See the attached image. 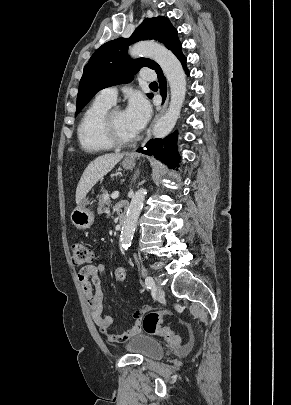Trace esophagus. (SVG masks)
Masks as SVG:
<instances>
[{"label":"esophagus","mask_w":291,"mask_h":405,"mask_svg":"<svg viewBox=\"0 0 291 405\" xmlns=\"http://www.w3.org/2000/svg\"><path fill=\"white\" fill-rule=\"evenodd\" d=\"M167 105H168V99L165 100V102H164L162 108L160 109L159 113L155 116V118L151 122V124H150V126L148 128V131H147V135H146L144 144L147 143L150 140L153 126L156 123V121L159 119V117L165 112V110L167 108Z\"/></svg>","instance_id":"1"}]
</instances>
